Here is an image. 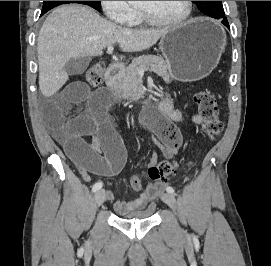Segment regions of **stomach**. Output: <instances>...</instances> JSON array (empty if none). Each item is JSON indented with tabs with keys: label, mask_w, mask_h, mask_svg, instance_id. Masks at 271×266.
<instances>
[{
	"label": "stomach",
	"mask_w": 271,
	"mask_h": 266,
	"mask_svg": "<svg viewBox=\"0 0 271 266\" xmlns=\"http://www.w3.org/2000/svg\"><path fill=\"white\" fill-rule=\"evenodd\" d=\"M225 46L223 28L205 18L171 28L160 40V49L170 66V76L182 82L208 76L219 63Z\"/></svg>",
	"instance_id": "obj_1"
}]
</instances>
